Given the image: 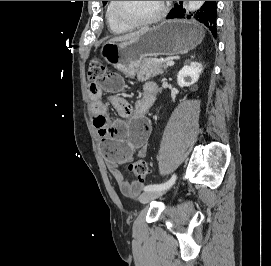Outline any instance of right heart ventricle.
<instances>
[{"label": "right heart ventricle", "mask_w": 271, "mask_h": 266, "mask_svg": "<svg viewBox=\"0 0 271 266\" xmlns=\"http://www.w3.org/2000/svg\"><path fill=\"white\" fill-rule=\"evenodd\" d=\"M106 22L109 29L115 34H123L131 28L122 24L114 14V1H108L105 11Z\"/></svg>", "instance_id": "e07e8e85"}]
</instances>
